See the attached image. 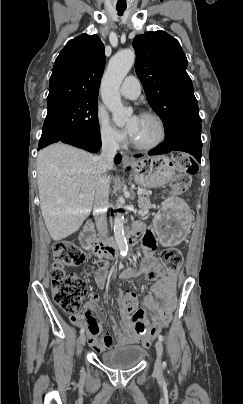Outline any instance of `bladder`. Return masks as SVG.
Instances as JSON below:
<instances>
[{
	"label": "bladder",
	"instance_id": "bladder-1",
	"mask_svg": "<svg viewBox=\"0 0 243 404\" xmlns=\"http://www.w3.org/2000/svg\"><path fill=\"white\" fill-rule=\"evenodd\" d=\"M146 354V350L140 345H126L102 353L100 360L109 369L129 370L138 366Z\"/></svg>",
	"mask_w": 243,
	"mask_h": 404
}]
</instances>
